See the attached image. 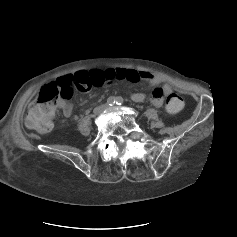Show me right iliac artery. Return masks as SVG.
I'll list each match as a JSON object with an SVG mask.
<instances>
[{
  "instance_id": "1",
  "label": "right iliac artery",
  "mask_w": 237,
  "mask_h": 237,
  "mask_svg": "<svg viewBox=\"0 0 237 237\" xmlns=\"http://www.w3.org/2000/svg\"><path fill=\"white\" fill-rule=\"evenodd\" d=\"M107 103L108 105L113 106L116 103V99L114 97H109Z\"/></svg>"
}]
</instances>
